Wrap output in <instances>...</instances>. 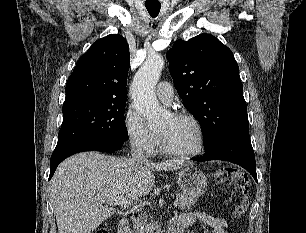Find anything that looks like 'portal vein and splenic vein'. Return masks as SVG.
<instances>
[{"label": "portal vein and splenic vein", "mask_w": 306, "mask_h": 233, "mask_svg": "<svg viewBox=\"0 0 306 233\" xmlns=\"http://www.w3.org/2000/svg\"><path fill=\"white\" fill-rule=\"evenodd\" d=\"M108 202H109L110 204H115V205H130V204L133 203L132 200H128V199H126V198H125L124 196H122V195H120V196H118V197L110 198V199L108 200ZM179 204H180L179 200H176V201L174 202V206H175V207L179 206Z\"/></svg>", "instance_id": "obj_1"}]
</instances>
